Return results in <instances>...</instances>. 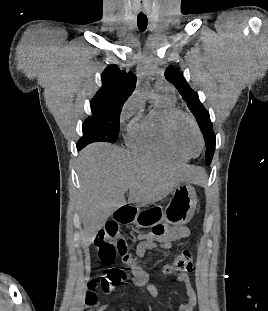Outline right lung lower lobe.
<instances>
[{"label":"right lung lower lobe","instance_id":"obj_1","mask_svg":"<svg viewBox=\"0 0 268 311\" xmlns=\"http://www.w3.org/2000/svg\"><path fill=\"white\" fill-rule=\"evenodd\" d=\"M77 149L78 150L82 149V146L77 145Z\"/></svg>","mask_w":268,"mask_h":311}]
</instances>
